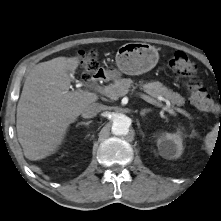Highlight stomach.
<instances>
[{
	"label": "stomach",
	"mask_w": 221,
	"mask_h": 221,
	"mask_svg": "<svg viewBox=\"0 0 221 221\" xmlns=\"http://www.w3.org/2000/svg\"><path fill=\"white\" fill-rule=\"evenodd\" d=\"M159 54L154 46L146 43H127L121 46L116 54L118 71L127 75H140L155 67ZM111 73L118 76L116 70Z\"/></svg>",
	"instance_id": "1"
}]
</instances>
